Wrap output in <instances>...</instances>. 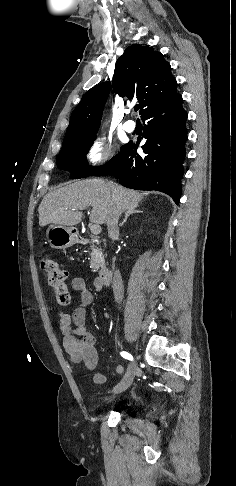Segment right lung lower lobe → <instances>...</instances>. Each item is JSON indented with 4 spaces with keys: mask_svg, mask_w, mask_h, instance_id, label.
<instances>
[{
    "mask_svg": "<svg viewBox=\"0 0 236 486\" xmlns=\"http://www.w3.org/2000/svg\"><path fill=\"white\" fill-rule=\"evenodd\" d=\"M140 115L147 122L142 135L147 138L142 146L144 154L136 152L139 143L130 141L92 175L109 174L128 188L164 192L178 204L187 140V113L182 107V96L176 93L156 102Z\"/></svg>",
    "mask_w": 236,
    "mask_h": 486,
    "instance_id": "right-lung-lower-lobe-1",
    "label": "right lung lower lobe"
}]
</instances>
